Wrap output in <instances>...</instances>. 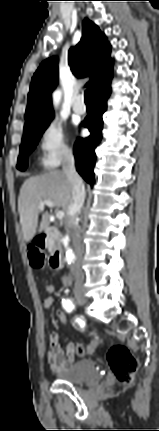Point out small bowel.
Returning a JSON list of instances; mask_svg holds the SVG:
<instances>
[{"instance_id":"1","label":"small bowel","mask_w":159,"mask_h":431,"mask_svg":"<svg viewBox=\"0 0 159 431\" xmlns=\"http://www.w3.org/2000/svg\"><path fill=\"white\" fill-rule=\"evenodd\" d=\"M45 290L48 293H53L55 291V286L51 283H48L45 285ZM50 299L54 300V298L50 296L46 297L43 300V306L46 309H50L46 307V302L49 301ZM49 339H50V349L47 353V359L50 366L55 371H62L67 369L69 366L73 364L76 356H78L77 355L78 344L71 343L68 345L66 350H63L61 338L58 333H55V332L52 333Z\"/></svg>"}]
</instances>
